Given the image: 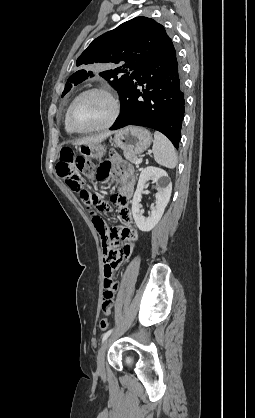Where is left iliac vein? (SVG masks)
<instances>
[{
    "label": "left iliac vein",
    "instance_id": "left-iliac-vein-1",
    "mask_svg": "<svg viewBox=\"0 0 255 418\" xmlns=\"http://www.w3.org/2000/svg\"><path fill=\"white\" fill-rule=\"evenodd\" d=\"M109 345V339H106L102 346L99 349L98 355H97V369L99 374L104 375L105 374V354L106 350Z\"/></svg>",
    "mask_w": 255,
    "mask_h": 418
}]
</instances>
